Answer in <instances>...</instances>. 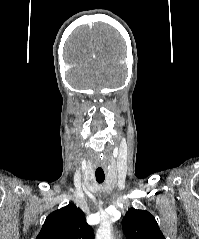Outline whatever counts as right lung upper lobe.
Listing matches in <instances>:
<instances>
[{"label": "right lung upper lobe", "mask_w": 199, "mask_h": 239, "mask_svg": "<svg viewBox=\"0 0 199 239\" xmlns=\"http://www.w3.org/2000/svg\"><path fill=\"white\" fill-rule=\"evenodd\" d=\"M93 230L84 213L73 204L54 211L46 218L36 239H93Z\"/></svg>", "instance_id": "right-lung-upper-lobe-1"}]
</instances>
